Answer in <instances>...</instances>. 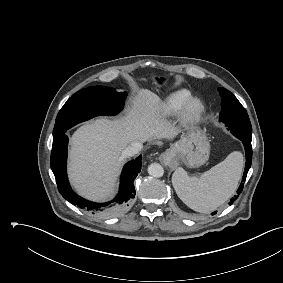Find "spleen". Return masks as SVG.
Returning a JSON list of instances; mask_svg holds the SVG:
<instances>
[{"label": "spleen", "mask_w": 283, "mask_h": 283, "mask_svg": "<svg viewBox=\"0 0 283 283\" xmlns=\"http://www.w3.org/2000/svg\"><path fill=\"white\" fill-rule=\"evenodd\" d=\"M243 162L242 153L234 151L200 177H189L183 168H178L172 177L173 187L189 208L201 213L210 212L234 194Z\"/></svg>", "instance_id": "obj_1"}]
</instances>
